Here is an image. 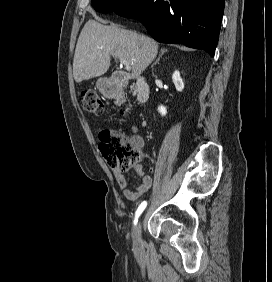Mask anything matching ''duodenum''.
I'll list each match as a JSON object with an SVG mask.
<instances>
[{
	"label": "duodenum",
	"instance_id": "410a0bca",
	"mask_svg": "<svg viewBox=\"0 0 272 282\" xmlns=\"http://www.w3.org/2000/svg\"><path fill=\"white\" fill-rule=\"evenodd\" d=\"M127 79L124 73H118L103 86L106 97L110 100H120L123 93V81ZM149 86L145 79L139 78L136 81V98L139 102H146L149 99Z\"/></svg>",
	"mask_w": 272,
	"mask_h": 282
}]
</instances>
